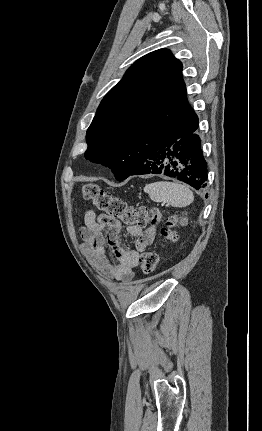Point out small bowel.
Returning <instances> with one entry per match:
<instances>
[{
    "label": "small bowel",
    "mask_w": 262,
    "mask_h": 431,
    "mask_svg": "<svg viewBox=\"0 0 262 431\" xmlns=\"http://www.w3.org/2000/svg\"><path fill=\"white\" fill-rule=\"evenodd\" d=\"M121 222L107 215H97L89 210L84 215V228L81 230L83 247L87 251L93 266L108 277L120 283H128L134 277L140 252L146 250L154 241L156 227L149 228L126 226V231L137 238L135 250H126L119 244ZM106 245L110 246L115 258L110 263L105 254Z\"/></svg>",
    "instance_id": "c3829d8e"
}]
</instances>
